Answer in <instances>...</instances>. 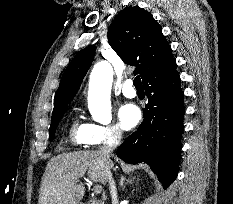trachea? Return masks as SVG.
I'll use <instances>...</instances> for the list:
<instances>
[{
	"mask_svg": "<svg viewBox=\"0 0 233 204\" xmlns=\"http://www.w3.org/2000/svg\"><path fill=\"white\" fill-rule=\"evenodd\" d=\"M133 84L134 86L137 88V89H143V85L141 83V79H140V76H136L134 81H133Z\"/></svg>",
	"mask_w": 233,
	"mask_h": 204,
	"instance_id": "trachea-1",
	"label": "trachea"
}]
</instances>
